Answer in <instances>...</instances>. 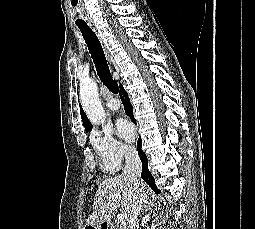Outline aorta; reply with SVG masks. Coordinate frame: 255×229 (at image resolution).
Here are the masks:
<instances>
[{
    "label": "aorta",
    "mask_w": 255,
    "mask_h": 229,
    "mask_svg": "<svg viewBox=\"0 0 255 229\" xmlns=\"http://www.w3.org/2000/svg\"><path fill=\"white\" fill-rule=\"evenodd\" d=\"M80 98L88 119L94 124L103 123L105 112L98 96L97 85L93 80L88 79L81 82Z\"/></svg>",
    "instance_id": "762f6f07"
}]
</instances>
